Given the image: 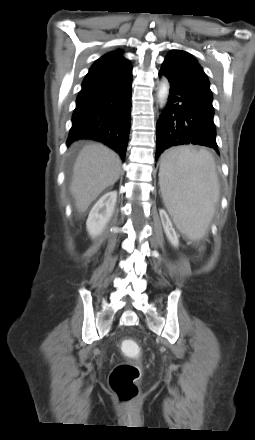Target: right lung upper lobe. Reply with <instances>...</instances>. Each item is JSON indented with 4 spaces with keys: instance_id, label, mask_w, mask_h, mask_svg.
Returning <instances> with one entry per match:
<instances>
[{
    "instance_id": "right-lung-upper-lobe-1",
    "label": "right lung upper lobe",
    "mask_w": 255,
    "mask_h": 440,
    "mask_svg": "<svg viewBox=\"0 0 255 440\" xmlns=\"http://www.w3.org/2000/svg\"><path fill=\"white\" fill-rule=\"evenodd\" d=\"M129 65H131L130 62L121 56V52L113 51L107 53L92 65L82 84L107 77Z\"/></svg>"
}]
</instances>
